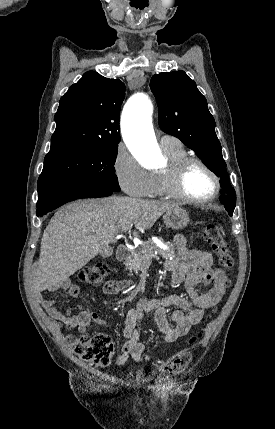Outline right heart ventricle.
Here are the masks:
<instances>
[{
  "instance_id": "right-heart-ventricle-1",
  "label": "right heart ventricle",
  "mask_w": 275,
  "mask_h": 429,
  "mask_svg": "<svg viewBox=\"0 0 275 429\" xmlns=\"http://www.w3.org/2000/svg\"><path fill=\"white\" fill-rule=\"evenodd\" d=\"M163 151L169 159V162H173L187 156V152L182 147V145L172 148H163ZM149 196L170 197L166 189L165 179L162 174V171L153 174V185Z\"/></svg>"
}]
</instances>
